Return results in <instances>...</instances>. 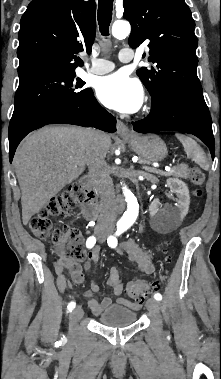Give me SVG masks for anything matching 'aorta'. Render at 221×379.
I'll list each match as a JSON object with an SVG mask.
<instances>
[{
	"instance_id": "1",
	"label": "aorta",
	"mask_w": 221,
	"mask_h": 379,
	"mask_svg": "<svg viewBox=\"0 0 221 379\" xmlns=\"http://www.w3.org/2000/svg\"><path fill=\"white\" fill-rule=\"evenodd\" d=\"M131 32V27L128 22H115L112 26V35L115 38H125ZM125 201L127 202V210L120 219V225L124 228L131 226L137 219L139 213V205L134 194L127 188L126 185L122 187Z\"/></svg>"
}]
</instances>
